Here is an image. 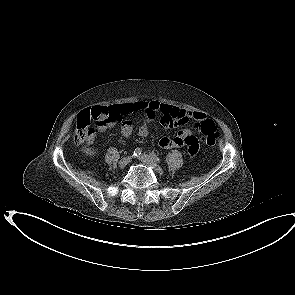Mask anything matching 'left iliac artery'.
Segmentation results:
<instances>
[{
    "label": "left iliac artery",
    "instance_id": "44dca946",
    "mask_svg": "<svg viewBox=\"0 0 295 295\" xmlns=\"http://www.w3.org/2000/svg\"><path fill=\"white\" fill-rule=\"evenodd\" d=\"M150 156L156 162H160L161 161L160 158L154 152L150 153Z\"/></svg>",
    "mask_w": 295,
    "mask_h": 295
}]
</instances>
